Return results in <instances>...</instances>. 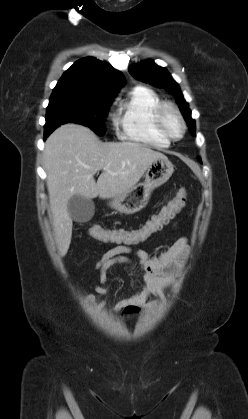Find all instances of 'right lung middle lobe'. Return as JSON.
Returning <instances> with one entry per match:
<instances>
[{
  "label": "right lung middle lobe",
  "instance_id": "dd1d6c3e",
  "mask_svg": "<svg viewBox=\"0 0 248 419\" xmlns=\"http://www.w3.org/2000/svg\"><path fill=\"white\" fill-rule=\"evenodd\" d=\"M114 95L98 96L69 90H53L46 113L45 130L75 122L105 133L104 119Z\"/></svg>",
  "mask_w": 248,
  "mask_h": 419
}]
</instances>
